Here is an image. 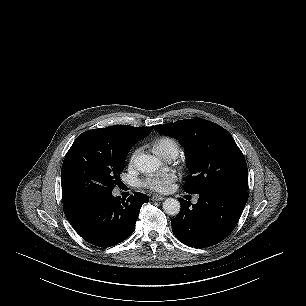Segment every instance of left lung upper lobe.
<instances>
[{
    "instance_id": "5c2ea615",
    "label": "left lung upper lobe",
    "mask_w": 306,
    "mask_h": 306,
    "mask_svg": "<svg viewBox=\"0 0 306 306\" xmlns=\"http://www.w3.org/2000/svg\"><path fill=\"white\" fill-rule=\"evenodd\" d=\"M182 144L190 175L184 190L200 194L228 189L247 193L248 169L233 137L221 126L201 119L179 120L155 126Z\"/></svg>"
}]
</instances>
